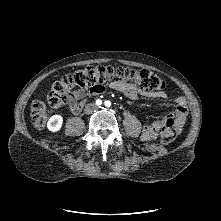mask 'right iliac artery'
<instances>
[{
  "label": "right iliac artery",
  "mask_w": 221,
  "mask_h": 221,
  "mask_svg": "<svg viewBox=\"0 0 221 221\" xmlns=\"http://www.w3.org/2000/svg\"><path fill=\"white\" fill-rule=\"evenodd\" d=\"M96 104L97 105H101L102 104V101L100 99L96 100Z\"/></svg>",
  "instance_id": "82829eb1"
}]
</instances>
